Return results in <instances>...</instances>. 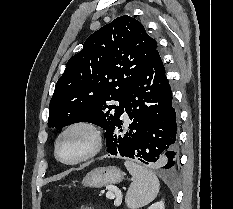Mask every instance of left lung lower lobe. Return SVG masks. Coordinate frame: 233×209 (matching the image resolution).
Listing matches in <instances>:
<instances>
[{"mask_svg": "<svg viewBox=\"0 0 233 209\" xmlns=\"http://www.w3.org/2000/svg\"><path fill=\"white\" fill-rule=\"evenodd\" d=\"M124 111L131 123L124 131L121 115L108 127L107 151L164 170L174 169L178 160L177 117L158 51L133 82L125 98Z\"/></svg>", "mask_w": 233, "mask_h": 209, "instance_id": "left-lung-lower-lobe-1", "label": "left lung lower lobe"}]
</instances>
